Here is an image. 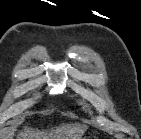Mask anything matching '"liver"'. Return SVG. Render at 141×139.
<instances>
[{"label": "liver", "mask_w": 141, "mask_h": 139, "mask_svg": "<svg viewBox=\"0 0 141 139\" xmlns=\"http://www.w3.org/2000/svg\"><path fill=\"white\" fill-rule=\"evenodd\" d=\"M84 131V126L76 123L61 124L49 132H41L25 127L18 134L17 139H81Z\"/></svg>", "instance_id": "6515ba94"}]
</instances>
